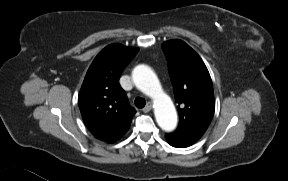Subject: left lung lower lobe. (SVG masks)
Wrapping results in <instances>:
<instances>
[{"label": "left lung lower lobe", "mask_w": 288, "mask_h": 181, "mask_svg": "<svg viewBox=\"0 0 288 181\" xmlns=\"http://www.w3.org/2000/svg\"><path fill=\"white\" fill-rule=\"evenodd\" d=\"M204 133L173 132L165 134L168 143L177 148L188 147L197 142Z\"/></svg>", "instance_id": "obj_1"}]
</instances>
